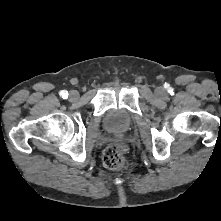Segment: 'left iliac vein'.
Listing matches in <instances>:
<instances>
[{"instance_id": "left-iliac-vein-1", "label": "left iliac vein", "mask_w": 221, "mask_h": 221, "mask_svg": "<svg viewBox=\"0 0 221 221\" xmlns=\"http://www.w3.org/2000/svg\"><path fill=\"white\" fill-rule=\"evenodd\" d=\"M156 93H157L158 95H163L164 90H163L162 88H157V89H156Z\"/></svg>"}]
</instances>
